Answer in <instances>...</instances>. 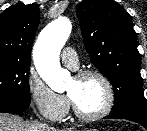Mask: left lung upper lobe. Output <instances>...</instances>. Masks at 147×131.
I'll return each instance as SVG.
<instances>
[{
    "label": "left lung upper lobe",
    "instance_id": "obj_1",
    "mask_svg": "<svg viewBox=\"0 0 147 131\" xmlns=\"http://www.w3.org/2000/svg\"><path fill=\"white\" fill-rule=\"evenodd\" d=\"M76 13L93 65L113 86L115 102L110 113L147 114L141 57L130 15L113 0H83Z\"/></svg>",
    "mask_w": 147,
    "mask_h": 131
}]
</instances>
